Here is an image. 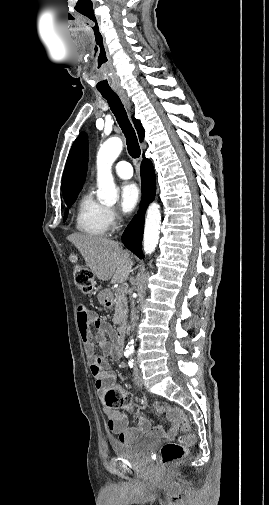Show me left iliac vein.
<instances>
[{"instance_id":"obj_1","label":"left iliac vein","mask_w":269,"mask_h":505,"mask_svg":"<svg viewBox=\"0 0 269 505\" xmlns=\"http://www.w3.org/2000/svg\"><path fill=\"white\" fill-rule=\"evenodd\" d=\"M133 378H134L135 385L139 388H142V386H143L142 374H141V371L137 365H134Z\"/></svg>"}]
</instances>
